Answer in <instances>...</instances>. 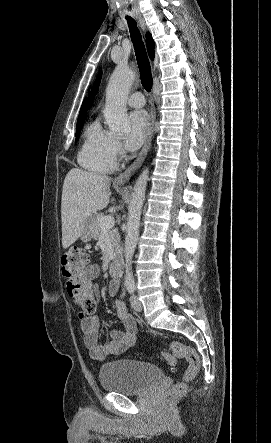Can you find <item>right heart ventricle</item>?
Instances as JSON below:
<instances>
[{
    "label": "right heart ventricle",
    "instance_id": "1",
    "mask_svg": "<svg viewBox=\"0 0 271 443\" xmlns=\"http://www.w3.org/2000/svg\"><path fill=\"white\" fill-rule=\"evenodd\" d=\"M113 135L104 130L98 119H94L85 129L83 142L78 152L79 164L92 172L110 173L116 168V155L113 151Z\"/></svg>",
    "mask_w": 271,
    "mask_h": 443
}]
</instances>
